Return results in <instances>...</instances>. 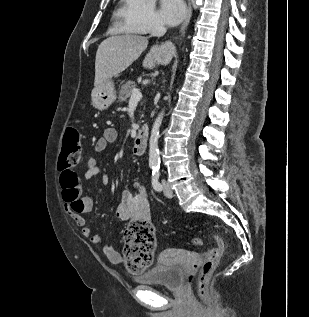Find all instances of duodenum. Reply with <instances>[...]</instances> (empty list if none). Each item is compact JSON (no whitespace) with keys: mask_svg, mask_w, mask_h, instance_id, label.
Instances as JSON below:
<instances>
[{"mask_svg":"<svg viewBox=\"0 0 309 317\" xmlns=\"http://www.w3.org/2000/svg\"><path fill=\"white\" fill-rule=\"evenodd\" d=\"M148 126L147 125H142L138 133L136 135V138L134 140V144L132 147V151L136 155H142L145 151L146 145H147V140H148Z\"/></svg>","mask_w":309,"mask_h":317,"instance_id":"410a0bca","label":"duodenum"}]
</instances>
